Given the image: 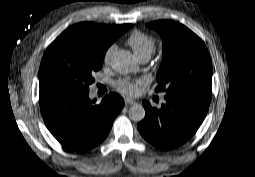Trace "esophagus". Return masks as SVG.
Wrapping results in <instances>:
<instances>
[{
    "label": "esophagus",
    "mask_w": 255,
    "mask_h": 177,
    "mask_svg": "<svg viewBox=\"0 0 255 177\" xmlns=\"http://www.w3.org/2000/svg\"><path fill=\"white\" fill-rule=\"evenodd\" d=\"M124 101H125V104L127 105V104H136L137 103V101L136 100H134V99H131V98H129V97H126L125 99H124Z\"/></svg>",
    "instance_id": "obj_1"
}]
</instances>
